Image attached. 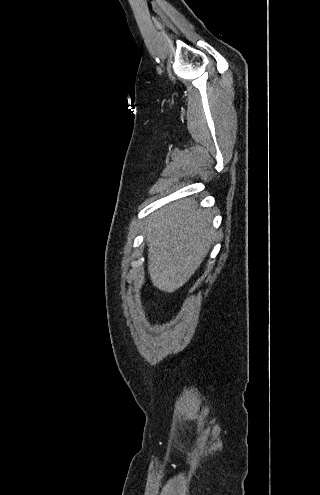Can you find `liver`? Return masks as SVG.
<instances>
[{
  "label": "liver",
  "instance_id": "obj_1",
  "mask_svg": "<svg viewBox=\"0 0 320 495\" xmlns=\"http://www.w3.org/2000/svg\"><path fill=\"white\" fill-rule=\"evenodd\" d=\"M148 272L155 287L174 292L200 267L214 240L212 217L183 199L152 214L146 228Z\"/></svg>",
  "mask_w": 320,
  "mask_h": 495
}]
</instances>
